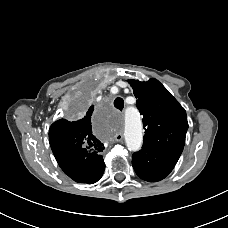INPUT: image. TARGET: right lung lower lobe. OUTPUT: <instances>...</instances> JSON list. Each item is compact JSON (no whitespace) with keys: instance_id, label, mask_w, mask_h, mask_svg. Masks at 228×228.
<instances>
[{"instance_id":"98d812e1","label":"right lung lower lobe","mask_w":228,"mask_h":228,"mask_svg":"<svg viewBox=\"0 0 228 228\" xmlns=\"http://www.w3.org/2000/svg\"><path fill=\"white\" fill-rule=\"evenodd\" d=\"M62 170L74 181L92 184L103 175L105 164L102 155L82 153L78 150L56 157Z\"/></svg>"}]
</instances>
